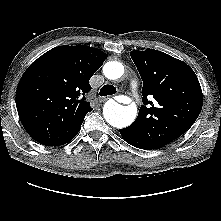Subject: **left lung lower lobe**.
Instances as JSON below:
<instances>
[{
    "instance_id": "obj_1",
    "label": "left lung lower lobe",
    "mask_w": 221,
    "mask_h": 221,
    "mask_svg": "<svg viewBox=\"0 0 221 221\" xmlns=\"http://www.w3.org/2000/svg\"><path fill=\"white\" fill-rule=\"evenodd\" d=\"M119 132H120L121 136L123 137V139L133 146V144H134L133 131L128 127V128L120 129Z\"/></svg>"
}]
</instances>
